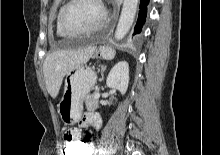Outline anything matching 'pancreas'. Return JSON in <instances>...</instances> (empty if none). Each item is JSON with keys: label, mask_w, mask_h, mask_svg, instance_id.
Here are the masks:
<instances>
[{"label": "pancreas", "mask_w": 220, "mask_h": 155, "mask_svg": "<svg viewBox=\"0 0 220 155\" xmlns=\"http://www.w3.org/2000/svg\"><path fill=\"white\" fill-rule=\"evenodd\" d=\"M95 94L87 95L85 98V104L88 111H94L98 108V99H95Z\"/></svg>", "instance_id": "1"}]
</instances>
